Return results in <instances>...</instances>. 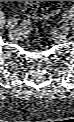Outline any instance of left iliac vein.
Listing matches in <instances>:
<instances>
[{
    "label": "left iliac vein",
    "instance_id": "1",
    "mask_svg": "<svg viewBox=\"0 0 74 122\" xmlns=\"http://www.w3.org/2000/svg\"><path fill=\"white\" fill-rule=\"evenodd\" d=\"M71 13L69 11H67L64 15H63V20L64 21H68L70 19ZM70 30V26L68 24H65L62 27V33L63 34H67V32Z\"/></svg>",
    "mask_w": 74,
    "mask_h": 122
}]
</instances>
